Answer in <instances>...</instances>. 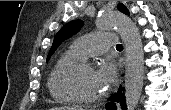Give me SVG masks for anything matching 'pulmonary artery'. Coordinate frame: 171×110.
I'll use <instances>...</instances> for the list:
<instances>
[{"mask_svg":"<svg viewBox=\"0 0 171 110\" xmlns=\"http://www.w3.org/2000/svg\"><path fill=\"white\" fill-rule=\"evenodd\" d=\"M116 42L114 33H92L76 39L72 48L82 57L102 54Z\"/></svg>","mask_w":171,"mask_h":110,"instance_id":"e3ab8cb5","label":"pulmonary artery"}]
</instances>
